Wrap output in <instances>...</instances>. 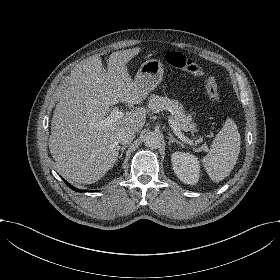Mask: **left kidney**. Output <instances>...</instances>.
I'll return each mask as SVG.
<instances>
[{
    "label": "left kidney",
    "mask_w": 280,
    "mask_h": 280,
    "mask_svg": "<svg viewBox=\"0 0 280 280\" xmlns=\"http://www.w3.org/2000/svg\"><path fill=\"white\" fill-rule=\"evenodd\" d=\"M173 170L183 183L195 185L201 177L198 157L192 153L175 151L171 155Z\"/></svg>",
    "instance_id": "left-kidney-1"
}]
</instances>
